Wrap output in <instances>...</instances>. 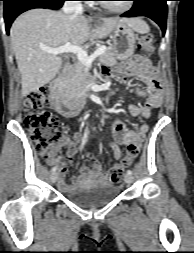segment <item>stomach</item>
Here are the masks:
<instances>
[{
    "instance_id": "1",
    "label": "stomach",
    "mask_w": 194,
    "mask_h": 253,
    "mask_svg": "<svg viewBox=\"0 0 194 253\" xmlns=\"http://www.w3.org/2000/svg\"><path fill=\"white\" fill-rule=\"evenodd\" d=\"M110 37L113 43L115 57L117 59H126L134 53L136 37L134 30L130 26L124 23L117 24L111 32Z\"/></svg>"
}]
</instances>
